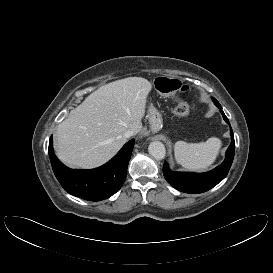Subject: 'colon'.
Wrapping results in <instances>:
<instances>
[{"mask_svg":"<svg viewBox=\"0 0 273 273\" xmlns=\"http://www.w3.org/2000/svg\"><path fill=\"white\" fill-rule=\"evenodd\" d=\"M156 88L164 94H173L178 92H185L188 86L177 79L159 77L155 81ZM176 114L185 117L189 114V107L186 104H180L176 107Z\"/></svg>","mask_w":273,"mask_h":273,"instance_id":"obj_1","label":"colon"}]
</instances>
